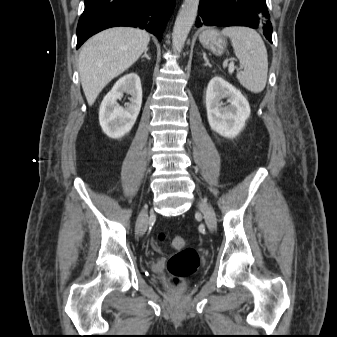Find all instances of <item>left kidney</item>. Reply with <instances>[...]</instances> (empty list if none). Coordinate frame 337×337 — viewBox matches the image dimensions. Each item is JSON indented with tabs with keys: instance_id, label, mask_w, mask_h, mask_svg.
Instances as JSON below:
<instances>
[{
	"instance_id": "5707ae66",
	"label": "left kidney",
	"mask_w": 337,
	"mask_h": 337,
	"mask_svg": "<svg viewBox=\"0 0 337 337\" xmlns=\"http://www.w3.org/2000/svg\"><path fill=\"white\" fill-rule=\"evenodd\" d=\"M224 98H228L229 105L224 106ZM206 109L211 129L226 138L236 137L250 116L246 98L219 76L213 77L207 86Z\"/></svg>"
}]
</instances>
